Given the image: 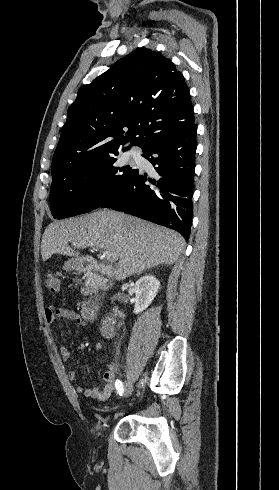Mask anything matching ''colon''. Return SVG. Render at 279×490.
Masks as SVG:
<instances>
[{
  "label": "colon",
  "instance_id": "5ec220e1",
  "mask_svg": "<svg viewBox=\"0 0 279 490\" xmlns=\"http://www.w3.org/2000/svg\"><path fill=\"white\" fill-rule=\"evenodd\" d=\"M44 288L52 294H58L61 289V280L58 275L47 276L43 281Z\"/></svg>",
  "mask_w": 279,
  "mask_h": 490
}]
</instances>
